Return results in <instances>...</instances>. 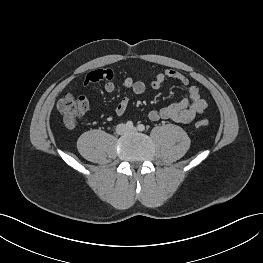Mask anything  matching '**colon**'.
Listing matches in <instances>:
<instances>
[{"instance_id": "obj_1", "label": "colon", "mask_w": 263, "mask_h": 263, "mask_svg": "<svg viewBox=\"0 0 263 263\" xmlns=\"http://www.w3.org/2000/svg\"><path fill=\"white\" fill-rule=\"evenodd\" d=\"M88 107L87 99L84 96L75 95L67 92L59 99L57 103L58 111L64 124L68 128H74L78 120L84 115ZM208 125L206 120L199 121L196 126L204 128Z\"/></svg>"}]
</instances>
